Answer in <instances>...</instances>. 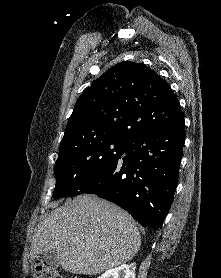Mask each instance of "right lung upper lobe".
<instances>
[{"instance_id":"right-lung-upper-lobe-1","label":"right lung upper lobe","mask_w":221,"mask_h":278,"mask_svg":"<svg viewBox=\"0 0 221 278\" xmlns=\"http://www.w3.org/2000/svg\"><path fill=\"white\" fill-rule=\"evenodd\" d=\"M184 118L170 86L141 63L122 62L79 97L60 143L62 152L93 138L131 137Z\"/></svg>"}]
</instances>
